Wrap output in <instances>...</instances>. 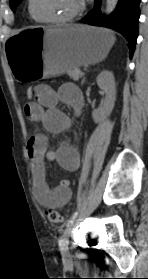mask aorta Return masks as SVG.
Here are the masks:
<instances>
[{"mask_svg": "<svg viewBox=\"0 0 148 279\" xmlns=\"http://www.w3.org/2000/svg\"><path fill=\"white\" fill-rule=\"evenodd\" d=\"M117 2L118 0H106L105 12L106 13L112 12L116 7Z\"/></svg>", "mask_w": 148, "mask_h": 279, "instance_id": "762f6f07", "label": "aorta"}]
</instances>
